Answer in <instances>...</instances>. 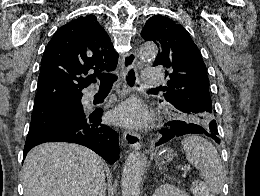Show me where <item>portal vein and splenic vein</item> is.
<instances>
[{"mask_svg":"<svg viewBox=\"0 0 260 196\" xmlns=\"http://www.w3.org/2000/svg\"><path fill=\"white\" fill-rule=\"evenodd\" d=\"M179 168H181V166H179ZM181 170H183L184 176H186L188 170H191V168H190V166H183V168H181Z\"/></svg>","mask_w":260,"mask_h":196,"instance_id":"1","label":"portal vein and splenic vein"}]
</instances>
